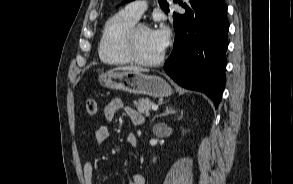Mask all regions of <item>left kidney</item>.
<instances>
[{
  "label": "left kidney",
  "mask_w": 293,
  "mask_h": 184,
  "mask_svg": "<svg viewBox=\"0 0 293 184\" xmlns=\"http://www.w3.org/2000/svg\"><path fill=\"white\" fill-rule=\"evenodd\" d=\"M170 134H171V129L170 128H165L163 135L169 136Z\"/></svg>",
  "instance_id": "5707ae66"
}]
</instances>
